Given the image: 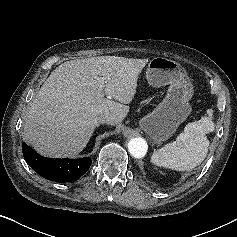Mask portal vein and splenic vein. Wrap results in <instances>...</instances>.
I'll list each match as a JSON object with an SVG mask.
<instances>
[{
    "label": "portal vein and splenic vein",
    "instance_id": "portal-vein-and-splenic-vein-1",
    "mask_svg": "<svg viewBox=\"0 0 237 237\" xmlns=\"http://www.w3.org/2000/svg\"><path fill=\"white\" fill-rule=\"evenodd\" d=\"M98 85H99V88L101 89V90H103L104 89V86H105V79L103 78V77H98Z\"/></svg>",
    "mask_w": 237,
    "mask_h": 237
}]
</instances>
